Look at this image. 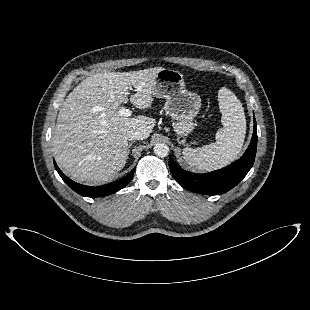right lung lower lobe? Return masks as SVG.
<instances>
[{"instance_id":"98d812e1","label":"right lung lower lobe","mask_w":310,"mask_h":310,"mask_svg":"<svg viewBox=\"0 0 310 310\" xmlns=\"http://www.w3.org/2000/svg\"><path fill=\"white\" fill-rule=\"evenodd\" d=\"M55 168L63 181L75 192L82 196L86 197H103L112 193L117 192L118 190L122 189L125 187L133 178L134 171L133 169L127 176L123 177L122 179H119L117 181H114L112 183L100 186V187H90V186H85L81 185L79 183H76L69 179L67 176H65L62 171L58 168L56 162L54 161Z\"/></svg>"}]
</instances>
